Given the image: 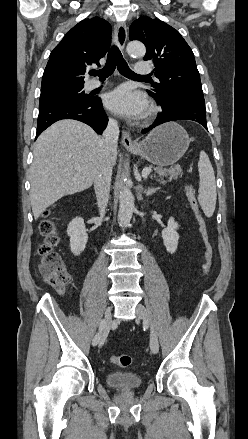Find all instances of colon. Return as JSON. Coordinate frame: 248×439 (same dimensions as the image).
Here are the masks:
<instances>
[{"label": "colon", "mask_w": 248, "mask_h": 439, "mask_svg": "<svg viewBox=\"0 0 248 439\" xmlns=\"http://www.w3.org/2000/svg\"><path fill=\"white\" fill-rule=\"evenodd\" d=\"M186 195L190 206L195 213L199 232L204 245L205 261L203 264V277H206L210 271L213 250L209 242L206 222L201 215L195 190L192 185L185 187ZM40 231L45 236V241L39 249L40 263L39 272L42 278L52 286H63L69 281V275L66 271L64 261L59 253L55 251L59 239L55 232V226L52 220L48 218V212L45 213V219L40 224ZM112 361L121 367H129L132 364L130 355H120L112 357Z\"/></svg>", "instance_id": "obj_1"}]
</instances>
